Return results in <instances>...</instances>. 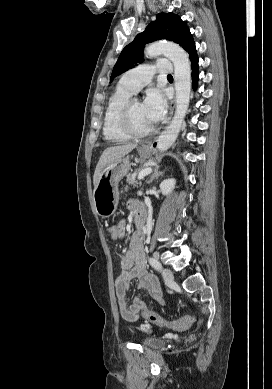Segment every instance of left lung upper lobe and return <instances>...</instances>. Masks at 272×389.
Here are the masks:
<instances>
[{"mask_svg":"<svg viewBox=\"0 0 272 389\" xmlns=\"http://www.w3.org/2000/svg\"><path fill=\"white\" fill-rule=\"evenodd\" d=\"M161 39L174 41L188 53L195 47L186 23L178 15L159 13L157 19L151 22L144 32L138 34L133 42L123 49L113 68L110 80L143 61L144 44Z\"/></svg>","mask_w":272,"mask_h":389,"instance_id":"1","label":"left lung upper lobe"}]
</instances>
